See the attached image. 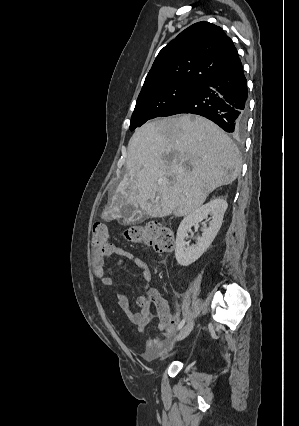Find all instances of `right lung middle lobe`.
<instances>
[{
  "instance_id": "1",
  "label": "right lung middle lobe",
  "mask_w": 299,
  "mask_h": 426,
  "mask_svg": "<svg viewBox=\"0 0 299 426\" xmlns=\"http://www.w3.org/2000/svg\"><path fill=\"white\" fill-rule=\"evenodd\" d=\"M198 87L200 86L189 83H171L140 93L132 114L130 130L140 127L150 119L163 116Z\"/></svg>"
}]
</instances>
